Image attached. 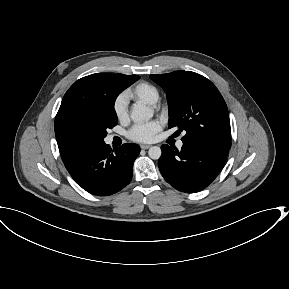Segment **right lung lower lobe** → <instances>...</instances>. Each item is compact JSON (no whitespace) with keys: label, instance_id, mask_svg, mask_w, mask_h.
Listing matches in <instances>:
<instances>
[{"label":"right lung lower lobe","instance_id":"obj_1","mask_svg":"<svg viewBox=\"0 0 289 289\" xmlns=\"http://www.w3.org/2000/svg\"><path fill=\"white\" fill-rule=\"evenodd\" d=\"M140 153L136 144H124L115 153L103 144L66 166L72 178L87 192L112 195L128 185L133 175V163Z\"/></svg>","mask_w":289,"mask_h":289}]
</instances>
